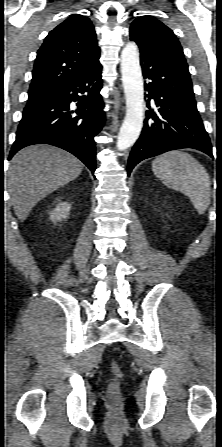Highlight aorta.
<instances>
[{
  "mask_svg": "<svg viewBox=\"0 0 222 447\" xmlns=\"http://www.w3.org/2000/svg\"><path fill=\"white\" fill-rule=\"evenodd\" d=\"M121 73L126 99V115L120 128L116 147L122 151L138 139L144 119V87L139 51L135 42H128L121 52Z\"/></svg>",
  "mask_w": 222,
  "mask_h": 447,
  "instance_id": "1",
  "label": "aorta"
}]
</instances>
